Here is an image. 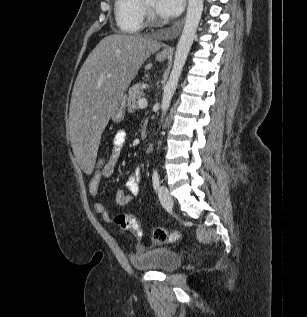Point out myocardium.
Wrapping results in <instances>:
<instances>
[{"label":"myocardium","mask_w":307,"mask_h":317,"mask_svg":"<svg viewBox=\"0 0 307 317\" xmlns=\"http://www.w3.org/2000/svg\"><path fill=\"white\" fill-rule=\"evenodd\" d=\"M144 15L147 18L149 24L153 26H158L161 24V20L156 16L153 8L146 2V0H141Z\"/></svg>","instance_id":"1"}]
</instances>
